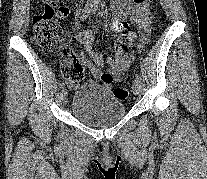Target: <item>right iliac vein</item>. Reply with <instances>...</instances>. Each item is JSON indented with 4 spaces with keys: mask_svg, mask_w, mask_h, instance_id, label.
I'll return each instance as SVG.
<instances>
[{
    "mask_svg": "<svg viewBox=\"0 0 207 179\" xmlns=\"http://www.w3.org/2000/svg\"><path fill=\"white\" fill-rule=\"evenodd\" d=\"M61 99L64 104H66L68 102V94H67V91L64 89L61 92Z\"/></svg>",
    "mask_w": 207,
    "mask_h": 179,
    "instance_id": "right-iliac-vein-1",
    "label": "right iliac vein"
}]
</instances>
